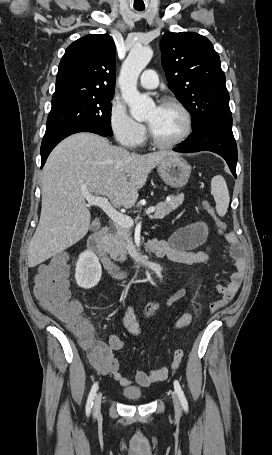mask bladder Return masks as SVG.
<instances>
[{
  "label": "bladder",
  "mask_w": 272,
  "mask_h": 455,
  "mask_svg": "<svg viewBox=\"0 0 272 455\" xmlns=\"http://www.w3.org/2000/svg\"><path fill=\"white\" fill-rule=\"evenodd\" d=\"M122 394L129 400H139L142 398V390L136 386L125 387Z\"/></svg>",
  "instance_id": "obj_1"
}]
</instances>
